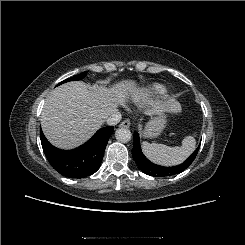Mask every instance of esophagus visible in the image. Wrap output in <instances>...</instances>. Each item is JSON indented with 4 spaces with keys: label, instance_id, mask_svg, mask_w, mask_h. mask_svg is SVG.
I'll return each instance as SVG.
<instances>
[{
    "label": "esophagus",
    "instance_id": "obj_1",
    "mask_svg": "<svg viewBox=\"0 0 245 245\" xmlns=\"http://www.w3.org/2000/svg\"><path fill=\"white\" fill-rule=\"evenodd\" d=\"M131 122L129 119H126L124 121L121 122L120 126L121 127H125V128H128L130 126Z\"/></svg>",
    "mask_w": 245,
    "mask_h": 245
}]
</instances>
